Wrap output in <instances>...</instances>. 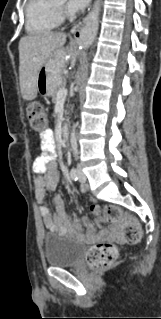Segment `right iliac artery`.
Instances as JSON below:
<instances>
[{
	"instance_id": "1",
	"label": "right iliac artery",
	"mask_w": 161,
	"mask_h": 319,
	"mask_svg": "<svg viewBox=\"0 0 161 319\" xmlns=\"http://www.w3.org/2000/svg\"><path fill=\"white\" fill-rule=\"evenodd\" d=\"M70 177L74 180L77 181L79 179V172L76 168H72L70 171Z\"/></svg>"
}]
</instances>
